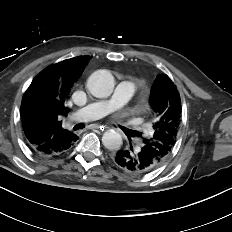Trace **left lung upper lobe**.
I'll return each instance as SVG.
<instances>
[{
  "mask_svg": "<svg viewBox=\"0 0 232 232\" xmlns=\"http://www.w3.org/2000/svg\"><path fill=\"white\" fill-rule=\"evenodd\" d=\"M150 106L155 116L153 131L142 138V148L159 162H163L176 143L182 116L180 94L171 79L156 77L150 94Z\"/></svg>",
  "mask_w": 232,
  "mask_h": 232,
  "instance_id": "left-lung-upper-lobe-1",
  "label": "left lung upper lobe"
}]
</instances>
